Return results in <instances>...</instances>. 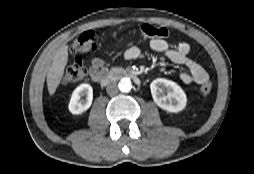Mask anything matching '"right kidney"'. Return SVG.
<instances>
[{
    "label": "right kidney",
    "instance_id": "ca27d5eb",
    "mask_svg": "<svg viewBox=\"0 0 254 174\" xmlns=\"http://www.w3.org/2000/svg\"><path fill=\"white\" fill-rule=\"evenodd\" d=\"M82 96H86V98L81 99ZM92 100V86L89 84H81L72 93L68 106L69 111L72 114H81L90 108Z\"/></svg>",
    "mask_w": 254,
    "mask_h": 174
}]
</instances>
